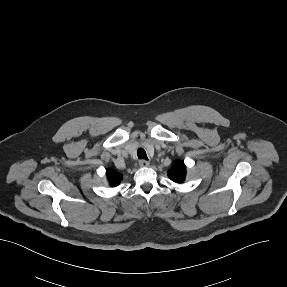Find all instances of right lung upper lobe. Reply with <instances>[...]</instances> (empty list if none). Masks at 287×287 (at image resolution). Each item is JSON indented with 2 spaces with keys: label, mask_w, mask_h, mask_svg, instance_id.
<instances>
[{
  "label": "right lung upper lobe",
  "mask_w": 287,
  "mask_h": 287,
  "mask_svg": "<svg viewBox=\"0 0 287 287\" xmlns=\"http://www.w3.org/2000/svg\"><path fill=\"white\" fill-rule=\"evenodd\" d=\"M106 175H107V179L109 181V184L112 187L119 185V183L122 180V175L113 169H107Z\"/></svg>",
  "instance_id": "right-lung-upper-lobe-1"
}]
</instances>
